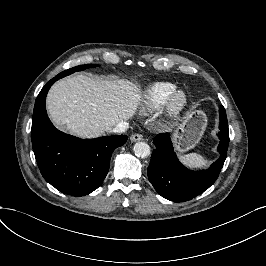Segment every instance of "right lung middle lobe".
Segmentation results:
<instances>
[{
  "label": "right lung middle lobe",
  "mask_w": 266,
  "mask_h": 266,
  "mask_svg": "<svg viewBox=\"0 0 266 266\" xmlns=\"http://www.w3.org/2000/svg\"><path fill=\"white\" fill-rule=\"evenodd\" d=\"M97 65L96 64H86V65H79V66H76V67H73L71 69H68L66 71H63L61 72L60 74H58L57 76L59 78H62V77H65L67 75H70L76 71H81V70H85L87 68H93V67H96Z\"/></svg>",
  "instance_id": "right-lung-middle-lobe-1"
}]
</instances>
